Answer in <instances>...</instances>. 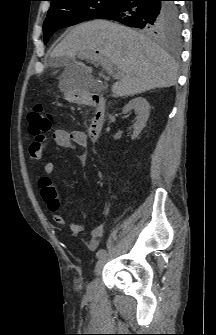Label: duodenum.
Instances as JSON below:
<instances>
[{"mask_svg": "<svg viewBox=\"0 0 216 335\" xmlns=\"http://www.w3.org/2000/svg\"><path fill=\"white\" fill-rule=\"evenodd\" d=\"M89 103L95 108L89 127V135L92 139L96 140L103 127L105 107L102 97L97 94L90 97Z\"/></svg>", "mask_w": 216, "mask_h": 335, "instance_id": "410a0bca", "label": "duodenum"}]
</instances>
